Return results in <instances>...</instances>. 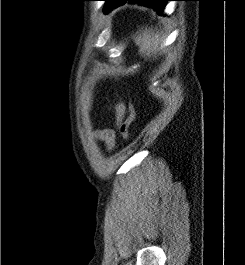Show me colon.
Here are the masks:
<instances>
[{
  "label": "colon",
  "mask_w": 245,
  "mask_h": 265,
  "mask_svg": "<svg viewBox=\"0 0 245 265\" xmlns=\"http://www.w3.org/2000/svg\"><path fill=\"white\" fill-rule=\"evenodd\" d=\"M135 120V110L133 106H129V114L127 118L119 124V131L124 139H128L131 135L130 127Z\"/></svg>",
  "instance_id": "colon-1"
}]
</instances>
